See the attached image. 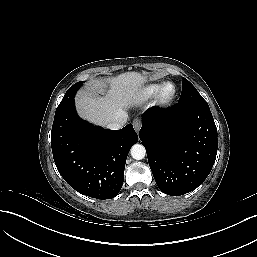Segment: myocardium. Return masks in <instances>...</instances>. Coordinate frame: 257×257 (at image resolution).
I'll list each match as a JSON object with an SVG mask.
<instances>
[{
	"label": "myocardium",
	"instance_id": "obj_1",
	"mask_svg": "<svg viewBox=\"0 0 257 257\" xmlns=\"http://www.w3.org/2000/svg\"><path fill=\"white\" fill-rule=\"evenodd\" d=\"M177 96V88L173 83H165L157 92L155 104L159 107H169Z\"/></svg>",
	"mask_w": 257,
	"mask_h": 257
}]
</instances>
